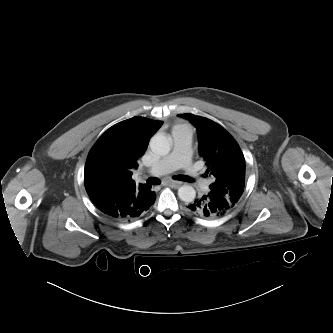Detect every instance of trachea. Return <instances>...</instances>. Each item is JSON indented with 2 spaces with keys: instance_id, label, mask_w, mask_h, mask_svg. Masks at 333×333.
I'll return each mask as SVG.
<instances>
[{
  "instance_id": "trachea-1",
  "label": "trachea",
  "mask_w": 333,
  "mask_h": 333,
  "mask_svg": "<svg viewBox=\"0 0 333 333\" xmlns=\"http://www.w3.org/2000/svg\"><path fill=\"white\" fill-rule=\"evenodd\" d=\"M174 179L176 180H181V181H185V182H193V180L186 176V175H178V176H175ZM146 182L148 184H151V185H158L161 183L160 179L156 178V177H149Z\"/></svg>"
}]
</instances>
